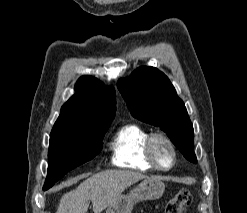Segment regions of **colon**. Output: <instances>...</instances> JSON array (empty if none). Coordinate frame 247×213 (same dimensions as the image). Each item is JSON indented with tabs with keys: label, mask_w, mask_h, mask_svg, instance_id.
Wrapping results in <instances>:
<instances>
[{
	"label": "colon",
	"mask_w": 247,
	"mask_h": 213,
	"mask_svg": "<svg viewBox=\"0 0 247 213\" xmlns=\"http://www.w3.org/2000/svg\"><path fill=\"white\" fill-rule=\"evenodd\" d=\"M190 203V192L182 189L167 202L165 213H185Z\"/></svg>",
	"instance_id": "1"
}]
</instances>
